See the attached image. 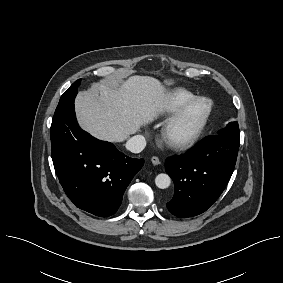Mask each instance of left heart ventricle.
<instances>
[{"instance_id":"1","label":"left heart ventricle","mask_w":283,"mask_h":283,"mask_svg":"<svg viewBox=\"0 0 283 283\" xmlns=\"http://www.w3.org/2000/svg\"><path fill=\"white\" fill-rule=\"evenodd\" d=\"M206 108H207L206 102H200L197 105H195L193 109L190 111L184 123L181 125L180 131L182 133L191 131L199 122Z\"/></svg>"}]
</instances>
